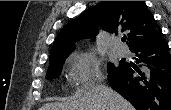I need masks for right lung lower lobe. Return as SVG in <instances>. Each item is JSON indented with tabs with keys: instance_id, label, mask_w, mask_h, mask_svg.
I'll return each mask as SVG.
<instances>
[{
	"instance_id": "right-lung-lower-lobe-1",
	"label": "right lung lower lobe",
	"mask_w": 171,
	"mask_h": 110,
	"mask_svg": "<svg viewBox=\"0 0 171 110\" xmlns=\"http://www.w3.org/2000/svg\"><path fill=\"white\" fill-rule=\"evenodd\" d=\"M136 66L124 62L109 71V84L137 110H171V54L163 34L130 49Z\"/></svg>"
}]
</instances>
